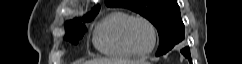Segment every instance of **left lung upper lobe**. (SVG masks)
Instances as JSON below:
<instances>
[{
	"instance_id": "5c2ea615",
	"label": "left lung upper lobe",
	"mask_w": 242,
	"mask_h": 64,
	"mask_svg": "<svg viewBox=\"0 0 242 64\" xmlns=\"http://www.w3.org/2000/svg\"><path fill=\"white\" fill-rule=\"evenodd\" d=\"M109 7H124L147 18L157 28L160 45L156 56L163 55L184 39V24L176 0H105Z\"/></svg>"
}]
</instances>
